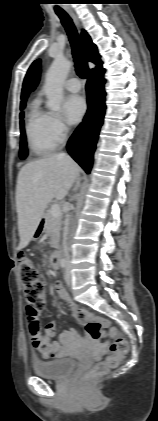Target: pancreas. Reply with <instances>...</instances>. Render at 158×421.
I'll return each instance as SVG.
<instances>
[{
  "label": "pancreas",
  "mask_w": 158,
  "mask_h": 421,
  "mask_svg": "<svg viewBox=\"0 0 158 421\" xmlns=\"http://www.w3.org/2000/svg\"><path fill=\"white\" fill-rule=\"evenodd\" d=\"M62 223V215L53 216L51 209L46 210L45 212V232L50 236V246L53 248L58 247V242L60 239V229Z\"/></svg>",
  "instance_id": "obj_1"
}]
</instances>
